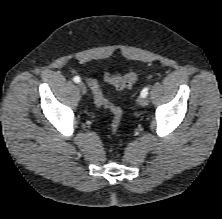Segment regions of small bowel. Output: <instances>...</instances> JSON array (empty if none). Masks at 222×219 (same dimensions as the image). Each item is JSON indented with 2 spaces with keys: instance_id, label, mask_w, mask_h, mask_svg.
<instances>
[{
  "instance_id": "c3829d8e",
  "label": "small bowel",
  "mask_w": 222,
  "mask_h": 219,
  "mask_svg": "<svg viewBox=\"0 0 222 219\" xmlns=\"http://www.w3.org/2000/svg\"><path fill=\"white\" fill-rule=\"evenodd\" d=\"M88 84L90 86L91 84H97V82L94 79H88Z\"/></svg>"
}]
</instances>
